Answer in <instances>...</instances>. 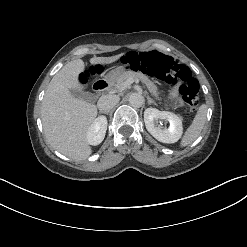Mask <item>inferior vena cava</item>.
Instances as JSON below:
<instances>
[{"instance_id": "obj_1", "label": "inferior vena cava", "mask_w": 247, "mask_h": 247, "mask_svg": "<svg viewBox=\"0 0 247 247\" xmlns=\"http://www.w3.org/2000/svg\"><path fill=\"white\" fill-rule=\"evenodd\" d=\"M119 100L120 98L117 95H104L98 100L97 106L100 111H109L119 102Z\"/></svg>"}]
</instances>
